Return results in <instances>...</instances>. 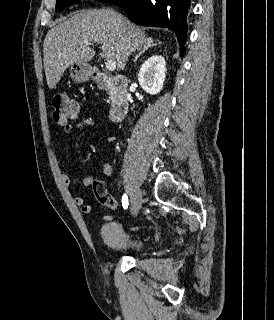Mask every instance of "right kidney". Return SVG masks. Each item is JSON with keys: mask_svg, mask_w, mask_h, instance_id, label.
I'll return each instance as SVG.
<instances>
[{"mask_svg": "<svg viewBox=\"0 0 274 320\" xmlns=\"http://www.w3.org/2000/svg\"><path fill=\"white\" fill-rule=\"evenodd\" d=\"M138 82L151 96L159 94L163 90L166 78V62L163 56H151L142 64L138 74Z\"/></svg>", "mask_w": 274, "mask_h": 320, "instance_id": "1", "label": "right kidney"}]
</instances>
